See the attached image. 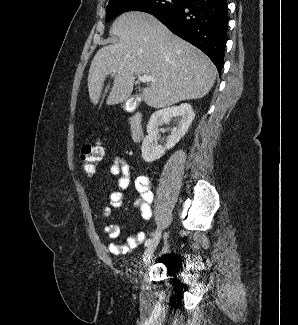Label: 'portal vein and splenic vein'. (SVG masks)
Instances as JSON below:
<instances>
[{
	"label": "portal vein and splenic vein",
	"mask_w": 298,
	"mask_h": 325,
	"mask_svg": "<svg viewBox=\"0 0 298 325\" xmlns=\"http://www.w3.org/2000/svg\"><path fill=\"white\" fill-rule=\"evenodd\" d=\"M141 82H155L156 78L154 76H147V74H137Z\"/></svg>",
	"instance_id": "portal-vein-and-splenic-vein-1"
}]
</instances>
